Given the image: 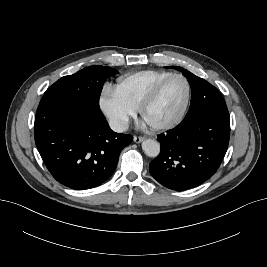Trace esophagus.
Instances as JSON below:
<instances>
[{
	"instance_id": "1",
	"label": "esophagus",
	"mask_w": 267,
	"mask_h": 267,
	"mask_svg": "<svg viewBox=\"0 0 267 267\" xmlns=\"http://www.w3.org/2000/svg\"><path fill=\"white\" fill-rule=\"evenodd\" d=\"M144 140L143 136H134V142L140 143Z\"/></svg>"
}]
</instances>
